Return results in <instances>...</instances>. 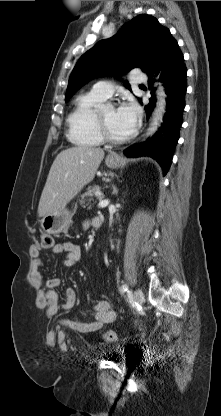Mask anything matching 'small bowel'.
I'll list each match as a JSON object with an SVG mask.
<instances>
[{
    "mask_svg": "<svg viewBox=\"0 0 221 416\" xmlns=\"http://www.w3.org/2000/svg\"><path fill=\"white\" fill-rule=\"evenodd\" d=\"M98 220L94 219L91 222H85L84 228L92 225L97 227ZM55 254L64 253L62 264L66 267H71L77 264L81 258V248L74 242H64L57 244L52 248ZM42 265L40 253L38 249L32 250V268L30 272L31 283L41 290L37 298V304L45 308L48 316H54L57 312L62 310H70L76 301V292L73 288L65 290V298L62 303L59 302L58 294L55 289L60 286L59 278H43L39 271ZM116 318V312L112 308L108 300H100L94 306V318L91 321L71 320L67 318L60 319L59 322L63 327L69 328L81 334L95 332L101 329L104 325L112 323Z\"/></svg>",
    "mask_w": 221,
    "mask_h": 416,
    "instance_id": "small-bowel-1",
    "label": "small bowel"
}]
</instances>
